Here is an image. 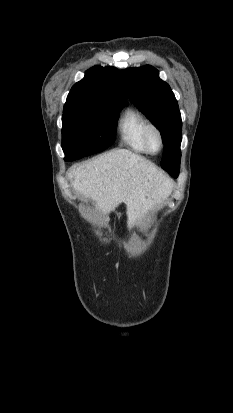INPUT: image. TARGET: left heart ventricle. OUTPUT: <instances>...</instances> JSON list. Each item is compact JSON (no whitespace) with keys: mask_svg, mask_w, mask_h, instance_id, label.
<instances>
[{"mask_svg":"<svg viewBox=\"0 0 233 413\" xmlns=\"http://www.w3.org/2000/svg\"><path fill=\"white\" fill-rule=\"evenodd\" d=\"M150 146L153 150H157L159 147V139L154 133L150 136Z\"/></svg>","mask_w":233,"mask_h":413,"instance_id":"b2bd125f","label":"left heart ventricle"}]
</instances>
